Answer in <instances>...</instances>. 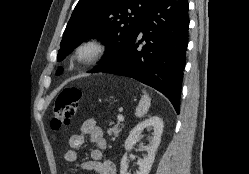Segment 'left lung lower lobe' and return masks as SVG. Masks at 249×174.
Wrapping results in <instances>:
<instances>
[{
    "label": "left lung lower lobe",
    "mask_w": 249,
    "mask_h": 174,
    "mask_svg": "<svg viewBox=\"0 0 249 174\" xmlns=\"http://www.w3.org/2000/svg\"><path fill=\"white\" fill-rule=\"evenodd\" d=\"M187 0H154L140 30L122 57L104 72L134 78L163 93L179 113L181 84L188 45ZM143 33L141 40L138 35ZM143 43L142 47L139 44Z\"/></svg>",
    "instance_id": "0a47b994"
}]
</instances>
